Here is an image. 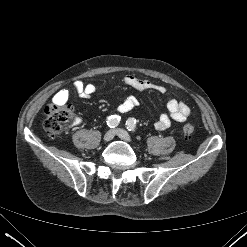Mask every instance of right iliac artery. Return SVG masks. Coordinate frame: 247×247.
I'll return each mask as SVG.
<instances>
[{
    "label": "right iliac artery",
    "mask_w": 247,
    "mask_h": 247,
    "mask_svg": "<svg viewBox=\"0 0 247 247\" xmlns=\"http://www.w3.org/2000/svg\"><path fill=\"white\" fill-rule=\"evenodd\" d=\"M120 117L117 115H112L107 119V125L110 128H115L119 125Z\"/></svg>",
    "instance_id": "82829eb1"
}]
</instances>
